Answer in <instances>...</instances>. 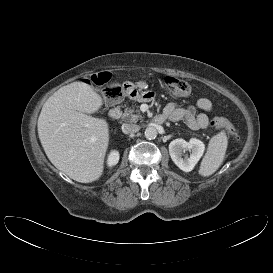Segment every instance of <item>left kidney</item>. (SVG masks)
<instances>
[{
	"mask_svg": "<svg viewBox=\"0 0 273 273\" xmlns=\"http://www.w3.org/2000/svg\"><path fill=\"white\" fill-rule=\"evenodd\" d=\"M189 150L190 156H185L183 153ZM205 150V145L202 141L196 138H191L189 142L184 139H175L169 144V153L172 161L183 171L190 172L202 157Z\"/></svg>",
	"mask_w": 273,
	"mask_h": 273,
	"instance_id": "1",
	"label": "left kidney"
}]
</instances>
